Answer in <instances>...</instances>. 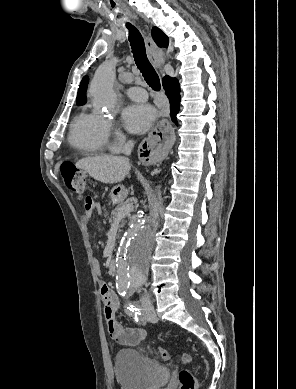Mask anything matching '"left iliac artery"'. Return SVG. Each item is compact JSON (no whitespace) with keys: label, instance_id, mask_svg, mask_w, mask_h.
I'll use <instances>...</instances> for the list:
<instances>
[{"label":"left iliac artery","instance_id":"1","mask_svg":"<svg viewBox=\"0 0 296 389\" xmlns=\"http://www.w3.org/2000/svg\"><path fill=\"white\" fill-rule=\"evenodd\" d=\"M127 308L129 315H131L135 321L138 322L142 320L141 311L136 304H129Z\"/></svg>","mask_w":296,"mask_h":389}]
</instances>
